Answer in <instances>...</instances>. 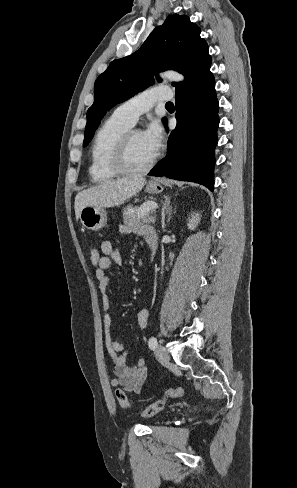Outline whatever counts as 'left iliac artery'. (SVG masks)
Instances as JSON below:
<instances>
[{
  "mask_svg": "<svg viewBox=\"0 0 297 488\" xmlns=\"http://www.w3.org/2000/svg\"><path fill=\"white\" fill-rule=\"evenodd\" d=\"M149 348L154 350L157 346V339L155 337H151L148 341Z\"/></svg>",
  "mask_w": 297,
  "mask_h": 488,
  "instance_id": "1",
  "label": "left iliac artery"
}]
</instances>
